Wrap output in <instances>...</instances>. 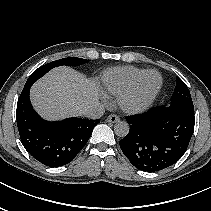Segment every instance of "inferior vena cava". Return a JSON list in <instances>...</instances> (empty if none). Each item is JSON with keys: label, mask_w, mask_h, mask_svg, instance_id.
Returning <instances> with one entry per match:
<instances>
[{"label": "inferior vena cava", "mask_w": 211, "mask_h": 211, "mask_svg": "<svg viewBox=\"0 0 211 211\" xmlns=\"http://www.w3.org/2000/svg\"><path fill=\"white\" fill-rule=\"evenodd\" d=\"M104 112V106L99 102H96L92 105H89L83 112V115L90 119H98L103 116Z\"/></svg>", "instance_id": "obj_1"}]
</instances>
